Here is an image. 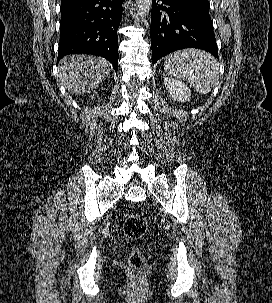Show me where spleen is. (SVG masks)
<instances>
[{
	"mask_svg": "<svg viewBox=\"0 0 272 303\" xmlns=\"http://www.w3.org/2000/svg\"><path fill=\"white\" fill-rule=\"evenodd\" d=\"M164 70L178 79L189 82L203 95L209 93L219 80V63L209 53L198 49H184L168 55Z\"/></svg>",
	"mask_w": 272,
	"mask_h": 303,
	"instance_id": "spleen-1",
	"label": "spleen"
}]
</instances>
